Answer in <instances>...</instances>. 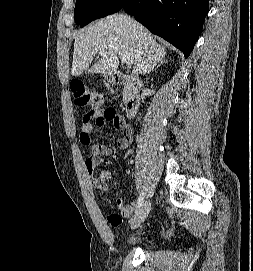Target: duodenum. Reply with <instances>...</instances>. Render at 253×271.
Returning a JSON list of instances; mask_svg holds the SVG:
<instances>
[{
  "mask_svg": "<svg viewBox=\"0 0 253 271\" xmlns=\"http://www.w3.org/2000/svg\"><path fill=\"white\" fill-rule=\"evenodd\" d=\"M112 79L115 84L124 86L125 88L124 110L126 116H134L139 109L141 103V81L138 79H134L130 75L122 72H115Z\"/></svg>",
  "mask_w": 253,
  "mask_h": 271,
  "instance_id": "duodenum-1",
  "label": "duodenum"
}]
</instances>
